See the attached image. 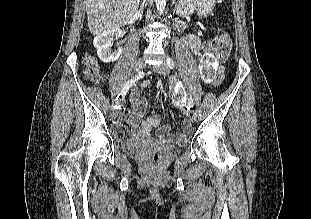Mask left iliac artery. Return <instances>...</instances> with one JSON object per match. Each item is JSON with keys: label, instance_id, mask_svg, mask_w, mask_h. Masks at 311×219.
<instances>
[{"label": "left iliac artery", "instance_id": "1", "mask_svg": "<svg viewBox=\"0 0 311 219\" xmlns=\"http://www.w3.org/2000/svg\"><path fill=\"white\" fill-rule=\"evenodd\" d=\"M167 65H168L170 68H174V67H175V63H174V61H173L170 57L167 58ZM188 105H189V107H193L194 102H193L192 97H190V98L188 99Z\"/></svg>", "mask_w": 311, "mask_h": 219}]
</instances>
